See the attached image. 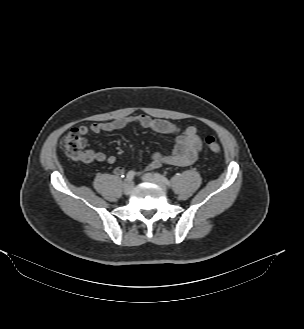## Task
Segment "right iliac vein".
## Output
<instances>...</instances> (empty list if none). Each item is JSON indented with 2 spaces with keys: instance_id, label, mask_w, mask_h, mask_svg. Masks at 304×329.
<instances>
[{
  "instance_id": "right-iliac-vein-1",
  "label": "right iliac vein",
  "mask_w": 304,
  "mask_h": 329,
  "mask_svg": "<svg viewBox=\"0 0 304 329\" xmlns=\"http://www.w3.org/2000/svg\"><path fill=\"white\" fill-rule=\"evenodd\" d=\"M133 186H134V184H133V182H131V181L125 183V184H124V193H125V194H129V193L132 191Z\"/></svg>"
}]
</instances>
